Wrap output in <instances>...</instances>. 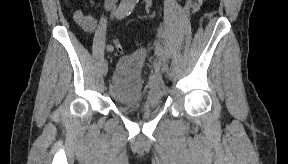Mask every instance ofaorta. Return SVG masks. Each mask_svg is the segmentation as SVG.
<instances>
[{
  "label": "aorta",
  "instance_id": "762f6f07",
  "mask_svg": "<svg viewBox=\"0 0 288 164\" xmlns=\"http://www.w3.org/2000/svg\"><path fill=\"white\" fill-rule=\"evenodd\" d=\"M147 2H148V4H149V6H150V4H151V0H147Z\"/></svg>",
  "mask_w": 288,
  "mask_h": 164
}]
</instances>
